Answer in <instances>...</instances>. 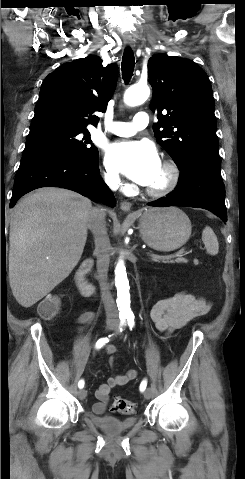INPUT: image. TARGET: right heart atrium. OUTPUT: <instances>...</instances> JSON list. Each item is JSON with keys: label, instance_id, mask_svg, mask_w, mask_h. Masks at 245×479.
Masks as SVG:
<instances>
[{"label": "right heart atrium", "instance_id": "d8ad5b80", "mask_svg": "<svg viewBox=\"0 0 245 479\" xmlns=\"http://www.w3.org/2000/svg\"><path fill=\"white\" fill-rule=\"evenodd\" d=\"M104 182L111 188L116 189L122 185L118 173L112 169H105L103 172Z\"/></svg>", "mask_w": 245, "mask_h": 479}]
</instances>
